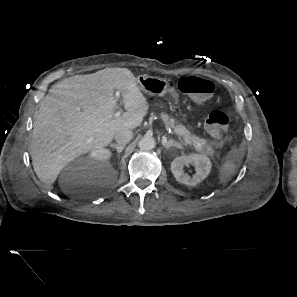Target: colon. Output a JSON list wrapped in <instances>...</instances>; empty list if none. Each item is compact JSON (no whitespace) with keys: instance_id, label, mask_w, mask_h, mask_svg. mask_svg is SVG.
I'll use <instances>...</instances> for the list:
<instances>
[{"instance_id":"1","label":"colon","mask_w":297,"mask_h":297,"mask_svg":"<svg viewBox=\"0 0 297 297\" xmlns=\"http://www.w3.org/2000/svg\"><path fill=\"white\" fill-rule=\"evenodd\" d=\"M178 87L181 92L191 95L198 100L210 98L215 90L214 84L211 81L194 76L181 78ZM228 122L229 119L225 113L213 110L206 119V128L213 137L223 139L226 135Z\"/></svg>"}]
</instances>
